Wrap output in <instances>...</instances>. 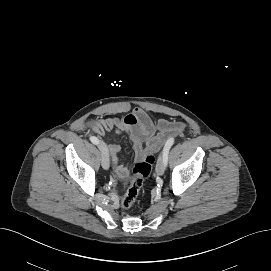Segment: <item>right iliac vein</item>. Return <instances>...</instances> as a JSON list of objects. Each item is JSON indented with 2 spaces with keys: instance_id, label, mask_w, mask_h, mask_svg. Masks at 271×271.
Segmentation results:
<instances>
[{
  "instance_id": "right-iliac-vein-1",
  "label": "right iliac vein",
  "mask_w": 271,
  "mask_h": 271,
  "mask_svg": "<svg viewBox=\"0 0 271 271\" xmlns=\"http://www.w3.org/2000/svg\"><path fill=\"white\" fill-rule=\"evenodd\" d=\"M99 149L101 151V164L104 169H108L110 165V156L107 145L105 143H99Z\"/></svg>"
}]
</instances>
